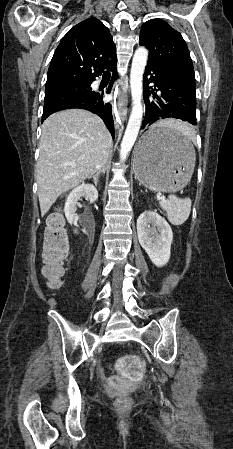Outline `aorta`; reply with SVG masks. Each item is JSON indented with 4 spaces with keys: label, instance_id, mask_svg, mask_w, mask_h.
<instances>
[{
    "label": "aorta",
    "instance_id": "obj_1",
    "mask_svg": "<svg viewBox=\"0 0 233 449\" xmlns=\"http://www.w3.org/2000/svg\"><path fill=\"white\" fill-rule=\"evenodd\" d=\"M148 51L144 47L136 49L132 61L130 73V86L132 94V111L128 121V125L123 136L120 146V159L125 161L128 153L132 149L135 140L138 136L139 129L142 122V81L145 66L147 64Z\"/></svg>",
    "mask_w": 233,
    "mask_h": 449
}]
</instances>
